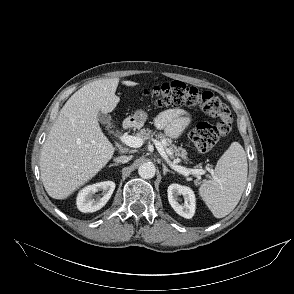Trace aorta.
<instances>
[{"mask_svg": "<svg viewBox=\"0 0 294 294\" xmlns=\"http://www.w3.org/2000/svg\"><path fill=\"white\" fill-rule=\"evenodd\" d=\"M156 168L152 163H143L138 168V174L143 179H151L155 176Z\"/></svg>", "mask_w": 294, "mask_h": 294, "instance_id": "obj_1", "label": "aorta"}]
</instances>
